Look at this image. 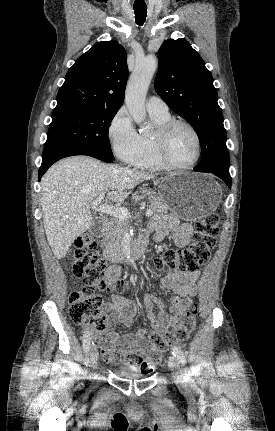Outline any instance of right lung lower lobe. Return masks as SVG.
Returning <instances> with one entry per match:
<instances>
[{"instance_id": "right-lung-lower-lobe-1", "label": "right lung lower lobe", "mask_w": 275, "mask_h": 431, "mask_svg": "<svg viewBox=\"0 0 275 431\" xmlns=\"http://www.w3.org/2000/svg\"><path fill=\"white\" fill-rule=\"evenodd\" d=\"M74 155H87L99 160L111 163L113 157L107 155L106 153L99 151L95 148L82 145H65L59 147L44 148L42 156V164L39 169V180L43 174L48 170V168L61 158L74 156Z\"/></svg>"}]
</instances>
